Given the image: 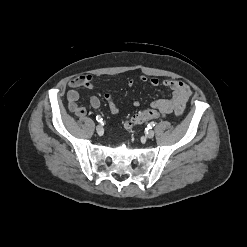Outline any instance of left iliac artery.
I'll return each instance as SVG.
<instances>
[{"mask_svg": "<svg viewBox=\"0 0 247 247\" xmlns=\"http://www.w3.org/2000/svg\"><path fill=\"white\" fill-rule=\"evenodd\" d=\"M155 126V122H150L149 124H148V127L149 128H152V127H154Z\"/></svg>", "mask_w": 247, "mask_h": 247, "instance_id": "left-iliac-artery-1", "label": "left iliac artery"}]
</instances>
